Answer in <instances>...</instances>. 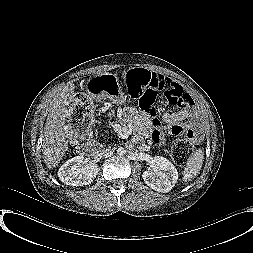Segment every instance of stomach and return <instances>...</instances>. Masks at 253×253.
I'll use <instances>...</instances> for the list:
<instances>
[{
  "mask_svg": "<svg viewBox=\"0 0 253 253\" xmlns=\"http://www.w3.org/2000/svg\"><path fill=\"white\" fill-rule=\"evenodd\" d=\"M86 89L87 93L97 100L107 97L117 105H122L126 101V96L118 84L116 76L113 74L104 73L90 78Z\"/></svg>",
  "mask_w": 253,
  "mask_h": 253,
  "instance_id": "obj_1",
  "label": "stomach"
}]
</instances>
